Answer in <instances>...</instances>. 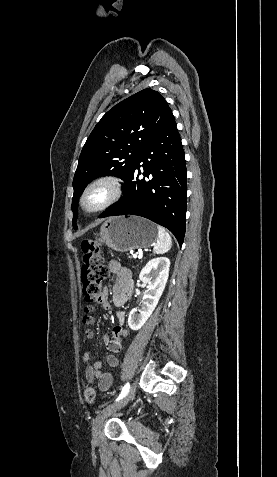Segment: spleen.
Listing matches in <instances>:
<instances>
[{
  "mask_svg": "<svg viewBox=\"0 0 277 477\" xmlns=\"http://www.w3.org/2000/svg\"><path fill=\"white\" fill-rule=\"evenodd\" d=\"M157 229L158 238L153 251L156 254H164L170 250L172 246V239L169 233L163 227L158 226Z\"/></svg>",
  "mask_w": 277,
  "mask_h": 477,
  "instance_id": "spleen-1",
  "label": "spleen"
}]
</instances>
